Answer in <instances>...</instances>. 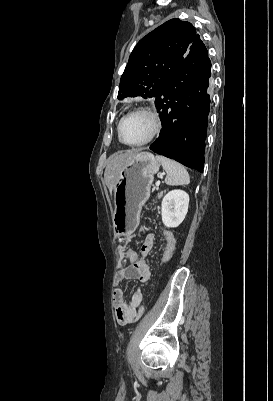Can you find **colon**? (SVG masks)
Returning a JSON list of instances; mask_svg holds the SVG:
<instances>
[{
  "instance_id": "obj_1",
  "label": "colon",
  "mask_w": 273,
  "mask_h": 401,
  "mask_svg": "<svg viewBox=\"0 0 273 401\" xmlns=\"http://www.w3.org/2000/svg\"><path fill=\"white\" fill-rule=\"evenodd\" d=\"M138 279L140 282H147V281H149L150 276L147 273H140L138 276Z\"/></svg>"
}]
</instances>
